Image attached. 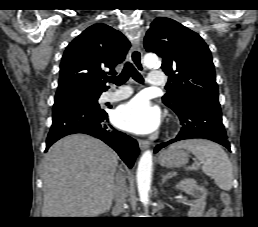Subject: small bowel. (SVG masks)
I'll return each instance as SVG.
<instances>
[{
	"label": "small bowel",
	"mask_w": 258,
	"mask_h": 227,
	"mask_svg": "<svg viewBox=\"0 0 258 227\" xmlns=\"http://www.w3.org/2000/svg\"><path fill=\"white\" fill-rule=\"evenodd\" d=\"M206 215L209 216V217H214L217 215V212L214 208H210L207 212H206Z\"/></svg>",
	"instance_id": "obj_1"
}]
</instances>
